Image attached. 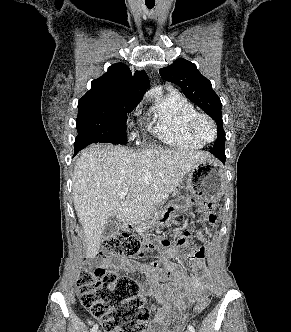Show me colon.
Listing matches in <instances>:
<instances>
[{"instance_id":"colon-1","label":"colon","mask_w":291,"mask_h":332,"mask_svg":"<svg viewBox=\"0 0 291 332\" xmlns=\"http://www.w3.org/2000/svg\"><path fill=\"white\" fill-rule=\"evenodd\" d=\"M206 217L209 224L199 232L201 240L211 235L219 220L218 214L212 209L206 213ZM150 247L152 244L138 235L117 233L104 240L97 258L143 256V249ZM77 287L82 305L94 317L102 320L104 332H149V311L140 294L139 284L134 279L102 267L85 268L79 274ZM208 303L209 298L203 296L193 311L202 312ZM184 320L185 317L177 319L169 331L180 332Z\"/></svg>"}]
</instances>
